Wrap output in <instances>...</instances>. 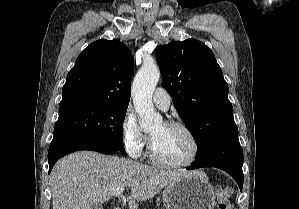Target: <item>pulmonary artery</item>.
<instances>
[{"label":"pulmonary artery","instance_id":"1","mask_svg":"<svg viewBox=\"0 0 299 209\" xmlns=\"http://www.w3.org/2000/svg\"><path fill=\"white\" fill-rule=\"evenodd\" d=\"M152 100L155 106L163 111L168 110L171 103L170 94L161 87L156 88V90L153 92Z\"/></svg>","mask_w":299,"mask_h":209}]
</instances>
